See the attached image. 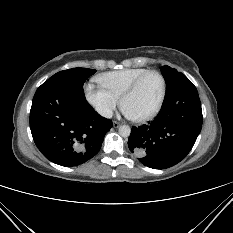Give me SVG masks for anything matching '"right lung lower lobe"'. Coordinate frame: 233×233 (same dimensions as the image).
<instances>
[{"label":"right lung lower lobe","mask_w":233,"mask_h":233,"mask_svg":"<svg viewBox=\"0 0 233 233\" xmlns=\"http://www.w3.org/2000/svg\"><path fill=\"white\" fill-rule=\"evenodd\" d=\"M112 121L86 101L83 87L47 80L36 91L30 110L32 137L50 161L73 167L98 153Z\"/></svg>","instance_id":"obj_1"}]
</instances>
